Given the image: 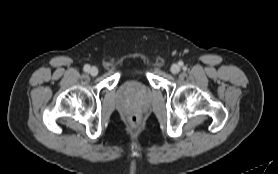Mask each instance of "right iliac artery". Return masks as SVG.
<instances>
[{"mask_svg": "<svg viewBox=\"0 0 278 174\" xmlns=\"http://www.w3.org/2000/svg\"><path fill=\"white\" fill-rule=\"evenodd\" d=\"M83 69L85 72H88L90 70V65L86 64Z\"/></svg>", "mask_w": 278, "mask_h": 174, "instance_id": "82829eb1", "label": "right iliac artery"}]
</instances>
